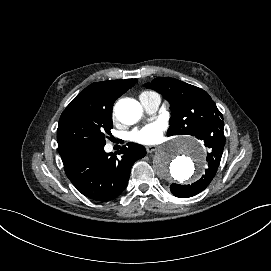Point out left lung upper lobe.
Wrapping results in <instances>:
<instances>
[{"label":"left lung upper lobe","instance_id":"1","mask_svg":"<svg viewBox=\"0 0 271 271\" xmlns=\"http://www.w3.org/2000/svg\"><path fill=\"white\" fill-rule=\"evenodd\" d=\"M146 87L161 93L171 104L168 136L187 134L201 140L223 135V115L204 90L174 78H155ZM221 130V132H217Z\"/></svg>","mask_w":271,"mask_h":271}]
</instances>
